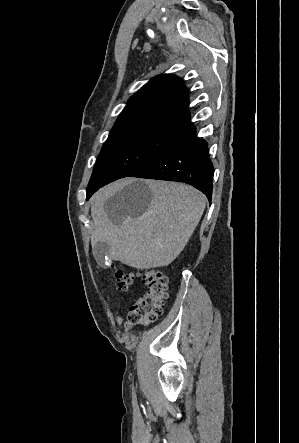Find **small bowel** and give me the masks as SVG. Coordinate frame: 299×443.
<instances>
[{"mask_svg":"<svg viewBox=\"0 0 299 443\" xmlns=\"http://www.w3.org/2000/svg\"><path fill=\"white\" fill-rule=\"evenodd\" d=\"M117 321L120 322V319L118 318Z\"/></svg>","mask_w":299,"mask_h":443,"instance_id":"c3829d8e","label":"small bowel"}]
</instances>
